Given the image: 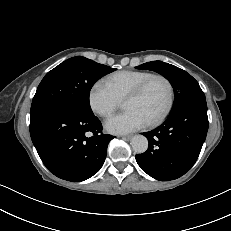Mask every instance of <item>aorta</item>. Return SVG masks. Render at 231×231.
Returning a JSON list of instances; mask_svg holds the SVG:
<instances>
[{
	"mask_svg": "<svg viewBox=\"0 0 231 231\" xmlns=\"http://www.w3.org/2000/svg\"><path fill=\"white\" fill-rule=\"evenodd\" d=\"M131 147L135 153H144L148 149V140L143 135H135L131 140Z\"/></svg>",
	"mask_w": 231,
	"mask_h": 231,
	"instance_id": "aorta-1",
	"label": "aorta"
}]
</instances>
